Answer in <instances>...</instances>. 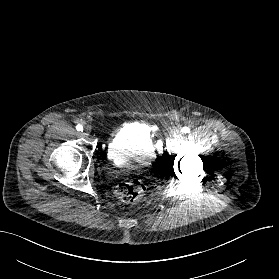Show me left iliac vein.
Wrapping results in <instances>:
<instances>
[{
	"label": "left iliac vein",
	"instance_id": "4c4485c4",
	"mask_svg": "<svg viewBox=\"0 0 279 279\" xmlns=\"http://www.w3.org/2000/svg\"><path fill=\"white\" fill-rule=\"evenodd\" d=\"M182 135H183V133H182V130H181V129H176V130L174 131V134H173L174 138H176V139L181 138Z\"/></svg>",
	"mask_w": 279,
	"mask_h": 279
}]
</instances>
